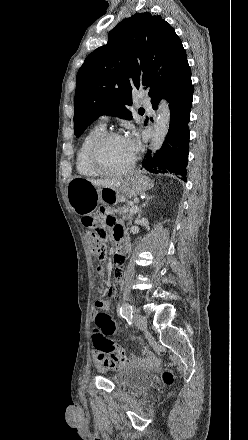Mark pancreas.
Listing matches in <instances>:
<instances>
[{
  "label": "pancreas",
  "instance_id": "cf45deb5",
  "mask_svg": "<svg viewBox=\"0 0 248 440\" xmlns=\"http://www.w3.org/2000/svg\"><path fill=\"white\" fill-rule=\"evenodd\" d=\"M118 211H119V214L122 215V218L124 220H127L129 223L132 222L134 213H132L129 208H120V209H118Z\"/></svg>",
  "mask_w": 248,
  "mask_h": 440
}]
</instances>
